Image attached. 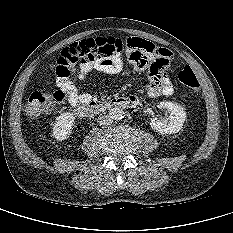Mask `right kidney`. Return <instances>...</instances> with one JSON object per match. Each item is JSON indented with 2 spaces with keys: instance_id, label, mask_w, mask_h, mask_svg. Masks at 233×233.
<instances>
[{
  "instance_id": "1",
  "label": "right kidney",
  "mask_w": 233,
  "mask_h": 233,
  "mask_svg": "<svg viewBox=\"0 0 233 233\" xmlns=\"http://www.w3.org/2000/svg\"><path fill=\"white\" fill-rule=\"evenodd\" d=\"M74 120V115L69 112L62 113L56 118L53 128V136L57 141H63L69 138Z\"/></svg>"
}]
</instances>
